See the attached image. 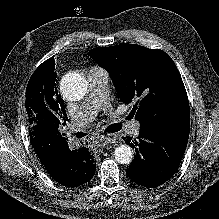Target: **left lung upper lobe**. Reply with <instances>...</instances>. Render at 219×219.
Instances as JSON below:
<instances>
[{
	"instance_id": "1",
	"label": "left lung upper lobe",
	"mask_w": 219,
	"mask_h": 219,
	"mask_svg": "<svg viewBox=\"0 0 219 219\" xmlns=\"http://www.w3.org/2000/svg\"><path fill=\"white\" fill-rule=\"evenodd\" d=\"M89 56L109 72L121 101L134 104L131 114L140 122V132L188 141V97L167 53L124 43L91 49Z\"/></svg>"
}]
</instances>
